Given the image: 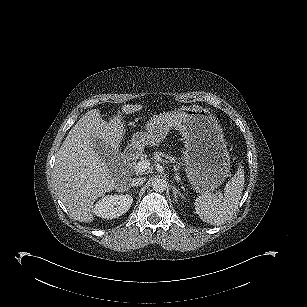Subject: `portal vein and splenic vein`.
<instances>
[{
  "label": "portal vein and splenic vein",
  "mask_w": 307,
  "mask_h": 307,
  "mask_svg": "<svg viewBox=\"0 0 307 307\" xmlns=\"http://www.w3.org/2000/svg\"><path fill=\"white\" fill-rule=\"evenodd\" d=\"M150 162L148 160H141L134 165V171L136 173L144 172L147 168H149Z\"/></svg>",
  "instance_id": "portal-vein-and-splenic-vein-1"
}]
</instances>
